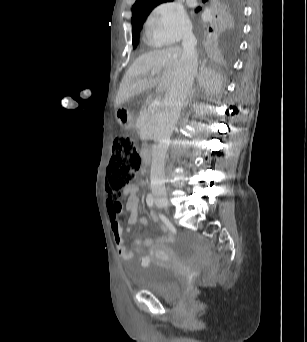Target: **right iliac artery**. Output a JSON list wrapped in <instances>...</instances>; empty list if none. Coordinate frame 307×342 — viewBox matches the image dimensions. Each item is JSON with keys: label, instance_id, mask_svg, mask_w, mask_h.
Segmentation results:
<instances>
[{"label": "right iliac artery", "instance_id": "right-iliac-artery-1", "mask_svg": "<svg viewBox=\"0 0 307 342\" xmlns=\"http://www.w3.org/2000/svg\"><path fill=\"white\" fill-rule=\"evenodd\" d=\"M146 202H147V205H148L149 207H153L154 199H153L152 194H148V195H147Z\"/></svg>", "mask_w": 307, "mask_h": 342}]
</instances>
